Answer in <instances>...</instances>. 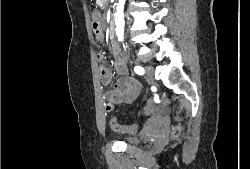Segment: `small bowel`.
Wrapping results in <instances>:
<instances>
[{
    "label": "small bowel",
    "mask_w": 250,
    "mask_h": 169,
    "mask_svg": "<svg viewBox=\"0 0 250 169\" xmlns=\"http://www.w3.org/2000/svg\"><path fill=\"white\" fill-rule=\"evenodd\" d=\"M114 51V66L120 78L117 80L113 89L105 93V98H113V103H130L140 91V83L129 76L128 64L126 56L119 52L116 44H112ZM99 61H102L103 56L98 55ZM101 80L105 85H108L113 77L112 71L107 66L100 67Z\"/></svg>",
    "instance_id": "obj_1"
}]
</instances>
